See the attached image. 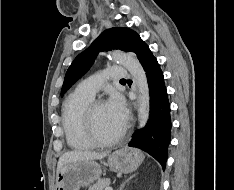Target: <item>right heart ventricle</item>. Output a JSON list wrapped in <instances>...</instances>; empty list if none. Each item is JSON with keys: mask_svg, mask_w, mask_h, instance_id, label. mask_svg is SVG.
Returning <instances> with one entry per match:
<instances>
[{"mask_svg": "<svg viewBox=\"0 0 234 190\" xmlns=\"http://www.w3.org/2000/svg\"><path fill=\"white\" fill-rule=\"evenodd\" d=\"M93 97L72 92L64 101L62 109V125L67 143L74 149L84 150L94 147L86 133L84 111Z\"/></svg>", "mask_w": 234, "mask_h": 190, "instance_id": "e07e8e85", "label": "right heart ventricle"}]
</instances>
